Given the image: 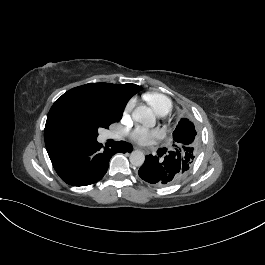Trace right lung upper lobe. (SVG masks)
<instances>
[{
    "label": "right lung upper lobe",
    "mask_w": 265,
    "mask_h": 265,
    "mask_svg": "<svg viewBox=\"0 0 265 265\" xmlns=\"http://www.w3.org/2000/svg\"><path fill=\"white\" fill-rule=\"evenodd\" d=\"M77 88H93V89H104L110 90L114 92H118L126 97V99H130L134 94L138 93L141 90V87L135 84H110V83H90L83 86H79ZM47 122V121H46ZM45 137V145L48 152V155L51 160H54L64 151L87 142H79L71 139H66L61 136L55 134L46 123L44 130Z\"/></svg>",
    "instance_id": "1"
}]
</instances>
